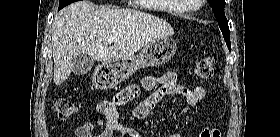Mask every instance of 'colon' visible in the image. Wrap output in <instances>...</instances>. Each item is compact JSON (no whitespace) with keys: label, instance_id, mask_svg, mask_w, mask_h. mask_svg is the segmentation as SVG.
<instances>
[{"label":"colon","instance_id":"5ec220e1","mask_svg":"<svg viewBox=\"0 0 280 137\" xmlns=\"http://www.w3.org/2000/svg\"><path fill=\"white\" fill-rule=\"evenodd\" d=\"M215 61L212 57H206L200 60L195 67L194 74L200 79H209L215 74ZM120 97L123 101L129 102L134 98V94L129 91H122ZM53 107L60 119L66 120L76 115V105L66 98L58 97L53 100ZM220 132L216 129H210L202 132L200 137H219Z\"/></svg>","mask_w":280,"mask_h":137}]
</instances>
